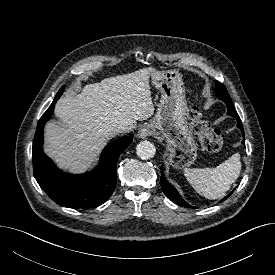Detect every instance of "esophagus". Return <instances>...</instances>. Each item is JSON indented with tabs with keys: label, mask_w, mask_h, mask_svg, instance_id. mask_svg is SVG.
<instances>
[{
	"label": "esophagus",
	"mask_w": 275,
	"mask_h": 275,
	"mask_svg": "<svg viewBox=\"0 0 275 275\" xmlns=\"http://www.w3.org/2000/svg\"><path fill=\"white\" fill-rule=\"evenodd\" d=\"M150 134H151V128L148 125L142 126L138 131V135L140 138H146Z\"/></svg>",
	"instance_id": "obj_1"
}]
</instances>
